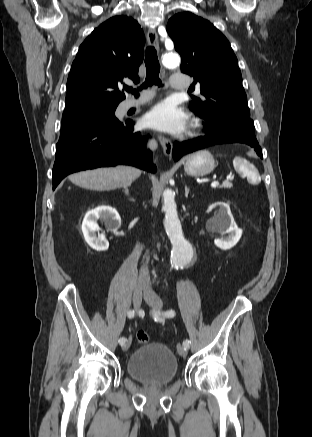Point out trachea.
Segmentation results:
<instances>
[{"label": "trachea", "mask_w": 312, "mask_h": 437, "mask_svg": "<svg viewBox=\"0 0 312 437\" xmlns=\"http://www.w3.org/2000/svg\"><path fill=\"white\" fill-rule=\"evenodd\" d=\"M145 65H146V79L145 82L138 88V90H142L147 88L148 86L158 85L162 86L161 80L159 79L160 72V64L157 57V52L154 47L150 46L146 49V57H145ZM125 90L127 92H132L135 96H138V90L132 89L131 87H126ZM191 91H189L190 93Z\"/></svg>", "instance_id": "3493384b"}]
</instances>
